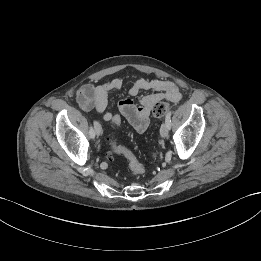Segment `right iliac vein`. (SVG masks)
Masks as SVG:
<instances>
[{
  "label": "right iliac vein",
  "mask_w": 261,
  "mask_h": 261,
  "mask_svg": "<svg viewBox=\"0 0 261 261\" xmlns=\"http://www.w3.org/2000/svg\"><path fill=\"white\" fill-rule=\"evenodd\" d=\"M95 133L96 135L100 136L102 134V127L101 125L99 124V122H97V125L95 127Z\"/></svg>",
  "instance_id": "obj_1"
}]
</instances>
